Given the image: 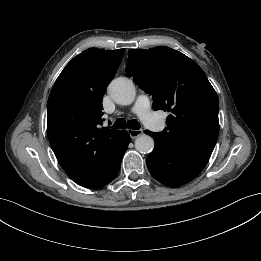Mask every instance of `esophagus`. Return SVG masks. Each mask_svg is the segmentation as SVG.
<instances>
[{
  "label": "esophagus",
  "mask_w": 261,
  "mask_h": 261,
  "mask_svg": "<svg viewBox=\"0 0 261 261\" xmlns=\"http://www.w3.org/2000/svg\"><path fill=\"white\" fill-rule=\"evenodd\" d=\"M128 133H129L131 139H135V138L139 137L140 135H142L143 131L141 129H137V130L129 129Z\"/></svg>",
  "instance_id": "obj_1"
}]
</instances>
